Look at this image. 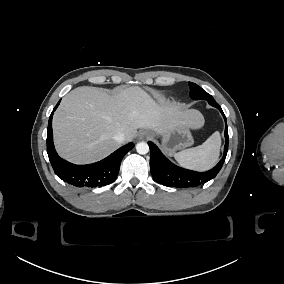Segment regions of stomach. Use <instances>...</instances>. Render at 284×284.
<instances>
[{
	"instance_id": "stomach-1",
	"label": "stomach",
	"mask_w": 284,
	"mask_h": 284,
	"mask_svg": "<svg viewBox=\"0 0 284 284\" xmlns=\"http://www.w3.org/2000/svg\"><path fill=\"white\" fill-rule=\"evenodd\" d=\"M160 135L162 136V146L169 154L190 147L194 143L187 125H177Z\"/></svg>"
}]
</instances>
